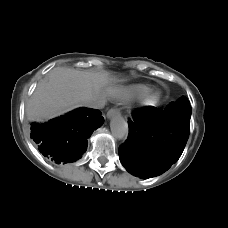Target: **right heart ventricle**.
<instances>
[{
    "instance_id": "right-heart-ventricle-1",
    "label": "right heart ventricle",
    "mask_w": 228,
    "mask_h": 228,
    "mask_svg": "<svg viewBox=\"0 0 228 228\" xmlns=\"http://www.w3.org/2000/svg\"><path fill=\"white\" fill-rule=\"evenodd\" d=\"M150 91V87L144 84H134L121 89L117 94V100L130 101L139 98Z\"/></svg>"
}]
</instances>
